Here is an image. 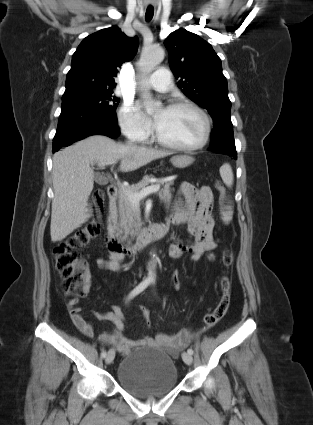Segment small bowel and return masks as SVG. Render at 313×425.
<instances>
[{
  "label": "small bowel",
  "instance_id": "1",
  "mask_svg": "<svg viewBox=\"0 0 313 425\" xmlns=\"http://www.w3.org/2000/svg\"><path fill=\"white\" fill-rule=\"evenodd\" d=\"M180 194L184 197V202L177 201L175 203L174 212L169 217L167 225L185 226L194 240L191 244H184L179 241L171 243L169 256L172 259H178L183 254L190 253L191 261H198L206 252L215 248L212 235L214 221L211 217L213 193L208 186L196 188L190 183L184 182L180 186ZM122 260L123 255L111 252L108 257L97 258L96 265L103 270L120 272ZM89 291L90 282L88 277L84 285L83 296H86ZM68 309L75 327L85 336L92 337L94 335L93 326L82 316L81 308L77 305L74 307L68 305ZM95 316L99 320L111 322L114 326L112 332L102 333L99 336V340L107 345L114 346L122 353H128L133 347L142 345L164 346L171 349L173 353H177L181 347H185L192 339V333L188 330H182L172 337L160 334L155 338H128L124 335V317L118 306H113L110 311L105 313H96Z\"/></svg>",
  "mask_w": 313,
  "mask_h": 425
}]
</instances>
